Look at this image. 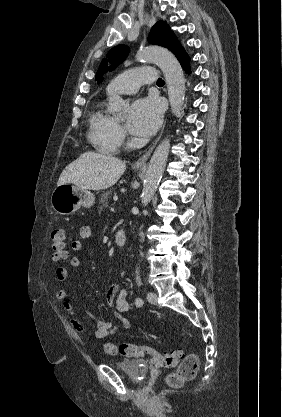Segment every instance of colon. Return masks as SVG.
<instances>
[{"instance_id": "5ec220e1", "label": "colon", "mask_w": 282, "mask_h": 417, "mask_svg": "<svg viewBox=\"0 0 282 417\" xmlns=\"http://www.w3.org/2000/svg\"><path fill=\"white\" fill-rule=\"evenodd\" d=\"M50 241L53 256L55 260L66 261V235L63 228H54L50 235ZM107 356H126L133 358L148 357L153 364L162 369L175 368L176 372L170 373L166 376V384L169 387L177 388L182 385L186 380H190L195 377L199 371V357L195 353L188 354V358L184 359L179 369L176 368L178 360L182 357V350L176 349L171 353H161L153 346L140 343H127L124 347H107L105 350ZM159 392H165L166 386L159 385Z\"/></svg>"}]
</instances>
